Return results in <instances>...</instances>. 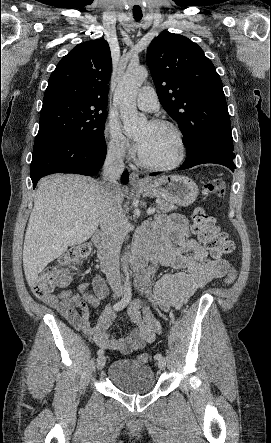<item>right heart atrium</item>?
<instances>
[{
  "instance_id": "1",
  "label": "right heart atrium",
  "mask_w": 271,
  "mask_h": 443,
  "mask_svg": "<svg viewBox=\"0 0 271 443\" xmlns=\"http://www.w3.org/2000/svg\"><path fill=\"white\" fill-rule=\"evenodd\" d=\"M108 153L117 158H125L130 155L131 142L122 132L117 119L108 116L102 129Z\"/></svg>"
}]
</instances>
